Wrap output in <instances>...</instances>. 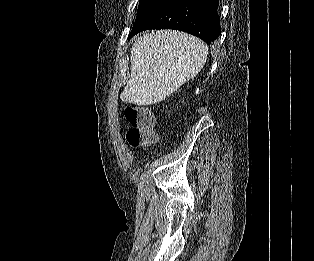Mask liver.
<instances>
[{
	"label": "liver",
	"mask_w": 314,
	"mask_h": 261,
	"mask_svg": "<svg viewBox=\"0 0 314 261\" xmlns=\"http://www.w3.org/2000/svg\"><path fill=\"white\" fill-rule=\"evenodd\" d=\"M207 54L205 43L187 33L144 34L132 46L131 77L121 100L139 106L161 102L201 71Z\"/></svg>",
	"instance_id": "obj_1"
}]
</instances>
